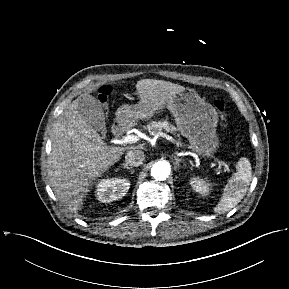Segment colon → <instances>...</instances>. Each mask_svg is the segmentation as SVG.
<instances>
[{
    "instance_id": "obj_1",
    "label": "colon",
    "mask_w": 289,
    "mask_h": 289,
    "mask_svg": "<svg viewBox=\"0 0 289 289\" xmlns=\"http://www.w3.org/2000/svg\"><path fill=\"white\" fill-rule=\"evenodd\" d=\"M110 91H111L110 87L108 86H104L100 89L98 98L101 103L103 104L106 103L108 95L110 94ZM214 107L216 111L219 113L222 123H225L226 122V106L224 102L221 100H216L214 102Z\"/></svg>"
}]
</instances>
